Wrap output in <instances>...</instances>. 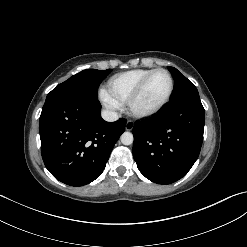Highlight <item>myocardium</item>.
<instances>
[{
  "label": "myocardium",
  "instance_id": "f54148a6",
  "mask_svg": "<svg viewBox=\"0 0 247 247\" xmlns=\"http://www.w3.org/2000/svg\"><path fill=\"white\" fill-rule=\"evenodd\" d=\"M160 72L165 73L169 78L170 85H169V89H168L166 96L159 104H157L156 106L150 109H146V110L137 109L136 103L141 97V95L143 94L147 83L149 82V80L151 79L153 75H155L156 73H160ZM173 90H174V80H173L171 73L168 70L163 69V68L154 69L142 79V81L138 84L134 92L129 97L127 101L128 109L130 113L135 117H138V118L150 117L156 114L157 112H159L169 102L172 96Z\"/></svg>",
  "mask_w": 247,
  "mask_h": 247
}]
</instances>
